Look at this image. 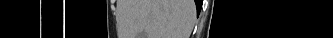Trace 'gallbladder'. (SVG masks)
Instances as JSON below:
<instances>
[{"instance_id": "obj_1", "label": "gallbladder", "mask_w": 333, "mask_h": 38, "mask_svg": "<svg viewBox=\"0 0 333 38\" xmlns=\"http://www.w3.org/2000/svg\"><path fill=\"white\" fill-rule=\"evenodd\" d=\"M146 35H147L146 32L142 31L139 35V38H146L147 37Z\"/></svg>"}]
</instances>
